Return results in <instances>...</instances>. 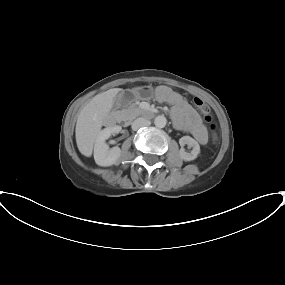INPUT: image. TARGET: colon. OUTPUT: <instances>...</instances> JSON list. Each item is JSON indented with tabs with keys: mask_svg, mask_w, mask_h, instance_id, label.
<instances>
[{
	"mask_svg": "<svg viewBox=\"0 0 285 285\" xmlns=\"http://www.w3.org/2000/svg\"><path fill=\"white\" fill-rule=\"evenodd\" d=\"M193 103L194 105L200 110V112L202 113L204 120L210 124V129L213 132V139L214 141H217L218 136L216 133V126L215 124L212 122V113L210 108L208 107V105L201 99L198 97H195L193 99Z\"/></svg>",
	"mask_w": 285,
	"mask_h": 285,
	"instance_id": "colon-1",
	"label": "colon"
}]
</instances>
